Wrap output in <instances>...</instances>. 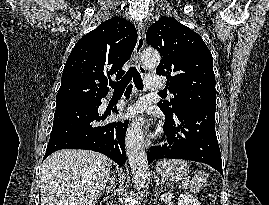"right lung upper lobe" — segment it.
I'll list each match as a JSON object with an SVG mask.
<instances>
[{"mask_svg": "<svg viewBox=\"0 0 269 205\" xmlns=\"http://www.w3.org/2000/svg\"><path fill=\"white\" fill-rule=\"evenodd\" d=\"M134 25L119 17L100 24L74 46L63 69L56 109L98 103L108 93L111 75L120 79L136 45Z\"/></svg>", "mask_w": 269, "mask_h": 205, "instance_id": "obj_1", "label": "right lung upper lobe"}]
</instances>
